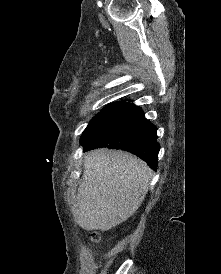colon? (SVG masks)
<instances>
[{"label":"colon","mask_w":221,"mask_h":274,"mask_svg":"<svg viewBox=\"0 0 221 274\" xmlns=\"http://www.w3.org/2000/svg\"><path fill=\"white\" fill-rule=\"evenodd\" d=\"M91 239L94 241V242H98L100 240V235L97 233V232H93L91 234Z\"/></svg>","instance_id":"obj_1"}]
</instances>
